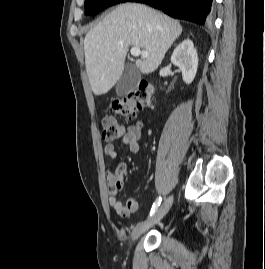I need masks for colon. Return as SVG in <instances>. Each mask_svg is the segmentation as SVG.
Masks as SVG:
<instances>
[{
    "instance_id": "1",
    "label": "colon",
    "mask_w": 265,
    "mask_h": 269,
    "mask_svg": "<svg viewBox=\"0 0 265 269\" xmlns=\"http://www.w3.org/2000/svg\"><path fill=\"white\" fill-rule=\"evenodd\" d=\"M153 92V86L148 81H141L137 88L116 99L112 104V109L125 119L132 120L141 109L151 104ZM102 127V138L106 142H111L125 134L124 126L111 115L103 118Z\"/></svg>"
}]
</instances>
